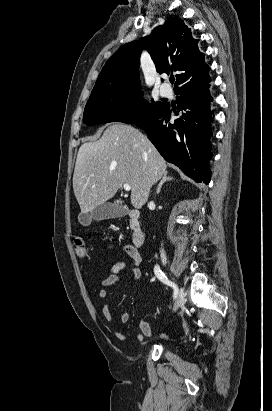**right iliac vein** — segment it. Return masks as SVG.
Returning a JSON list of instances; mask_svg holds the SVG:
<instances>
[{
	"mask_svg": "<svg viewBox=\"0 0 272 411\" xmlns=\"http://www.w3.org/2000/svg\"><path fill=\"white\" fill-rule=\"evenodd\" d=\"M183 304H184L183 291L179 290L173 310L177 311Z\"/></svg>",
	"mask_w": 272,
	"mask_h": 411,
	"instance_id": "right-iliac-vein-1",
	"label": "right iliac vein"
}]
</instances>
